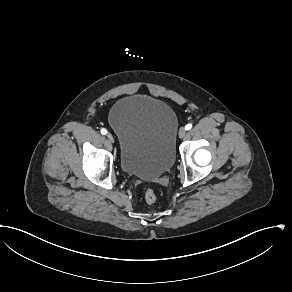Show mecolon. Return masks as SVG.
<instances>
[{"mask_svg":"<svg viewBox=\"0 0 292 292\" xmlns=\"http://www.w3.org/2000/svg\"><path fill=\"white\" fill-rule=\"evenodd\" d=\"M144 199L147 205L155 204L157 200L155 191L151 188H148L144 194Z\"/></svg>","mask_w":292,"mask_h":292,"instance_id":"obj_1","label":"colon"}]
</instances>
